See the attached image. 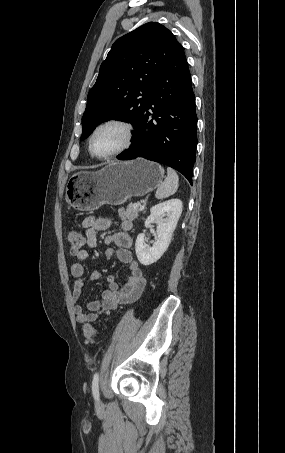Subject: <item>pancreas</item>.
<instances>
[{
	"mask_svg": "<svg viewBox=\"0 0 285 453\" xmlns=\"http://www.w3.org/2000/svg\"><path fill=\"white\" fill-rule=\"evenodd\" d=\"M119 217L123 220L128 219L130 221L135 220L139 215V208H134L133 204H129L126 209L120 208L118 210Z\"/></svg>",
	"mask_w": 285,
	"mask_h": 453,
	"instance_id": "1",
	"label": "pancreas"
}]
</instances>
